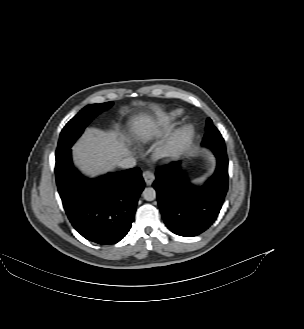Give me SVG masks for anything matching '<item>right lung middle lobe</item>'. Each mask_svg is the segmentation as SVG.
<instances>
[{"label":"right lung middle lobe","mask_w":304,"mask_h":329,"mask_svg":"<svg viewBox=\"0 0 304 329\" xmlns=\"http://www.w3.org/2000/svg\"><path fill=\"white\" fill-rule=\"evenodd\" d=\"M112 104V102H106L102 104L87 105L76 116H74L65 125L60 134L56 156L69 150L93 118L99 113L109 109Z\"/></svg>","instance_id":"dd1d6c3e"}]
</instances>
